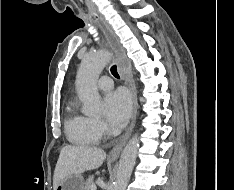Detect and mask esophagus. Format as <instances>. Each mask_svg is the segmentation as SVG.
<instances>
[{
  "label": "esophagus",
  "mask_w": 234,
  "mask_h": 190,
  "mask_svg": "<svg viewBox=\"0 0 234 190\" xmlns=\"http://www.w3.org/2000/svg\"><path fill=\"white\" fill-rule=\"evenodd\" d=\"M100 27H101L103 33L105 34V37L108 41V44L110 45L111 49L115 53L117 63L120 64L125 59V52H124L122 45L119 42L118 37L116 36V34L114 33V31L112 30V28L109 26V24L107 22L101 21ZM120 70L123 72V77L125 79V82L127 83L128 87L131 91V94H132L133 111H132L131 123H130L127 131L120 138L118 143L113 147V149L109 153V158H111V159H116L119 157L123 147L125 146L127 140L129 139V137L131 135V132H132L134 125H135L136 116H137V106H138L137 92H136V86H135V82L133 80L131 70H130V68H128L124 65H121V64H120Z\"/></svg>",
  "instance_id": "34e87169"
}]
</instances>
